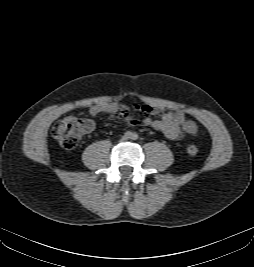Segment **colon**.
Masks as SVG:
<instances>
[{
  "label": "colon",
  "instance_id": "1",
  "mask_svg": "<svg viewBox=\"0 0 254 267\" xmlns=\"http://www.w3.org/2000/svg\"><path fill=\"white\" fill-rule=\"evenodd\" d=\"M93 128V122L87 118L69 116L56 122L52 127L53 137L65 149H74L81 138L90 132ZM187 153L195 156L198 153L196 145H189Z\"/></svg>",
  "mask_w": 254,
  "mask_h": 267
}]
</instances>
